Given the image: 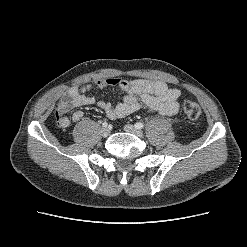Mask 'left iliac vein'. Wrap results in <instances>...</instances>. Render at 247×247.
<instances>
[{
	"mask_svg": "<svg viewBox=\"0 0 247 247\" xmlns=\"http://www.w3.org/2000/svg\"><path fill=\"white\" fill-rule=\"evenodd\" d=\"M124 130L126 131V132H128V133H132V134H134V135H136V136H138V137H144V133L141 131V130H139V129H137V128H135L133 125H131V124H126L125 126H124Z\"/></svg>",
	"mask_w": 247,
	"mask_h": 247,
	"instance_id": "4c4485c4",
	"label": "left iliac vein"
}]
</instances>
